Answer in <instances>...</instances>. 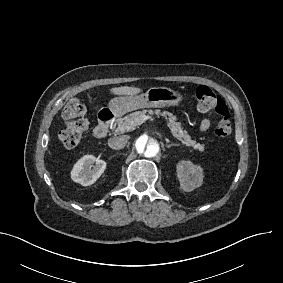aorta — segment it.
Listing matches in <instances>:
<instances>
[{
    "mask_svg": "<svg viewBox=\"0 0 283 283\" xmlns=\"http://www.w3.org/2000/svg\"><path fill=\"white\" fill-rule=\"evenodd\" d=\"M161 145V139L155 133H142L134 140L133 151L140 159L138 161L150 162L159 158Z\"/></svg>",
    "mask_w": 283,
    "mask_h": 283,
    "instance_id": "aorta-1",
    "label": "aorta"
}]
</instances>
